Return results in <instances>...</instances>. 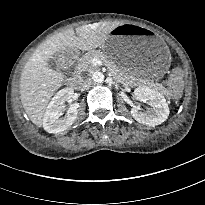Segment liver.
Here are the masks:
<instances>
[{"instance_id":"obj_1","label":"liver","mask_w":205,"mask_h":205,"mask_svg":"<svg viewBox=\"0 0 205 205\" xmlns=\"http://www.w3.org/2000/svg\"><path fill=\"white\" fill-rule=\"evenodd\" d=\"M117 22H100L66 30L42 43L31 55L20 77V98L30 120L38 127L43 124L44 113L53 94L63 85L61 72L51 69L47 62L64 50L89 51L100 47Z\"/></svg>"}]
</instances>
